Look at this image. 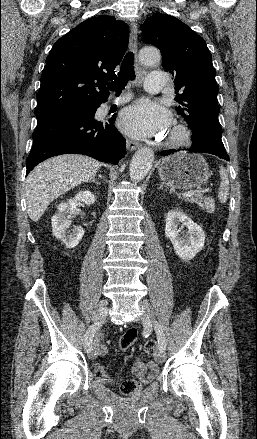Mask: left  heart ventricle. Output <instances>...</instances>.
<instances>
[{"label":"left heart ventricle","instance_id":"1","mask_svg":"<svg viewBox=\"0 0 257 439\" xmlns=\"http://www.w3.org/2000/svg\"><path fill=\"white\" fill-rule=\"evenodd\" d=\"M171 136V132L168 134V137L167 138H169Z\"/></svg>","mask_w":257,"mask_h":439}]
</instances>
